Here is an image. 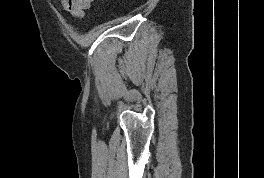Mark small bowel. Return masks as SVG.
Listing matches in <instances>:
<instances>
[{"label": "small bowel", "mask_w": 264, "mask_h": 178, "mask_svg": "<svg viewBox=\"0 0 264 178\" xmlns=\"http://www.w3.org/2000/svg\"><path fill=\"white\" fill-rule=\"evenodd\" d=\"M66 11L75 17H82L84 11L88 9L93 0H61Z\"/></svg>", "instance_id": "c3829d8e"}]
</instances>
